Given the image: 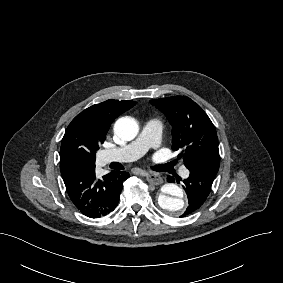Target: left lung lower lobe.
<instances>
[{
  "instance_id": "1",
  "label": "left lung lower lobe",
  "mask_w": 283,
  "mask_h": 283,
  "mask_svg": "<svg viewBox=\"0 0 283 283\" xmlns=\"http://www.w3.org/2000/svg\"><path fill=\"white\" fill-rule=\"evenodd\" d=\"M219 167L200 165L191 167L189 177L184 180V189L188 195V207L181 217L198 210L206 201Z\"/></svg>"
}]
</instances>
